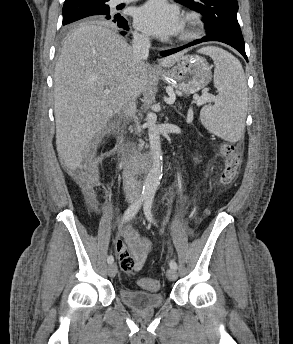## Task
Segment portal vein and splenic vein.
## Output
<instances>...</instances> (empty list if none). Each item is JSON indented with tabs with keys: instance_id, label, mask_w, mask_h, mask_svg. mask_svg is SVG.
<instances>
[{
	"instance_id": "18ae733b",
	"label": "portal vein and splenic vein",
	"mask_w": 293,
	"mask_h": 344,
	"mask_svg": "<svg viewBox=\"0 0 293 344\" xmlns=\"http://www.w3.org/2000/svg\"><path fill=\"white\" fill-rule=\"evenodd\" d=\"M106 94H109L110 93V90H108V89H106L105 91H104ZM195 100H197V105H202V104H204L205 102H207V101H211V100H213V97H211V96H208V95H202V96H197V95H195L194 97H193ZM174 99V94L170 97V99L169 100H173Z\"/></svg>"
}]
</instances>
